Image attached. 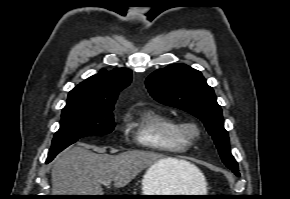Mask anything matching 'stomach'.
Returning <instances> with one entry per match:
<instances>
[{
  "mask_svg": "<svg viewBox=\"0 0 290 199\" xmlns=\"http://www.w3.org/2000/svg\"><path fill=\"white\" fill-rule=\"evenodd\" d=\"M182 179L177 175L170 174L160 165L155 164L147 169L142 178V195H203L206 191V181L199 172L191 183V190L179 193ZM157 199H195L190 197H146Z\"/></svg>",
  "mask_w": 290,
  "mask_h": 199,
  "instance_id": "stomach-1",
  "label": "stomach"
}]
</instances>
